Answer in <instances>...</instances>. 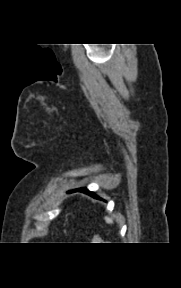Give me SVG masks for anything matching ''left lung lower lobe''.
<instances>
[{"mask_svg": "<svg viewBox=\"0 0 181 288\" xmlns=\"http://www.w3.org/2000/svg\"><path fill=\"white\" fill-rule=\"evenodd\" d=\"M75 191H80V192H84V193H87L95 198H99L97 197L93 192H90L88 191L86 188H80V189H76V190H73V191H70V192H75Z\"/></svg>", "mask_w": 181, "mask_h": 288, "instance_id": "left-lung-lower-lobe-1", "label": "left lung lower lobe"}]
</instances>
